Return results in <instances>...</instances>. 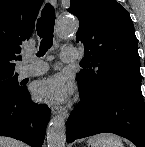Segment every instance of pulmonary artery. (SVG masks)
<instances>
[{
  "instance_id": "1",
  "label": "pulmonary artery",
  "mask_w": 145,
  "mask_h": 147,
  "mask_svg": "<svg viewBox=\"0 0 145 147\" xmlns=\"http://www.w3.org/2000/svg\"><path fill=\"white\" fill-rule=\"evenodd\" d=\"M81 52L75 48H65L61 53V61L68 63L80 58ZM48 66L46 63L27 55L23 60V65L19 71V76L30 77L46 73Z\"/></svg>"
}]
</instances>
